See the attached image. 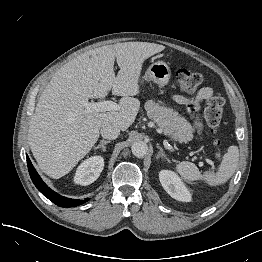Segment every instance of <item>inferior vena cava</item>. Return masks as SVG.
<instances>
[{
	"mask_svg": "<svg viewBox=\"0 0 262 262\" xmlns=\"http://www.w3.org/2000/svg\"><path fill=\"white\" fill-rule=\"evenodd\" d=\"M103 138L113 140L120 134V128L116 124H104L100 129Z\"/></svg>",
	"mask_w": 262,
	"mask_h": 262,
	"instance_id": "1",
	"label": "inferior vena cava"
}]
</instances>
